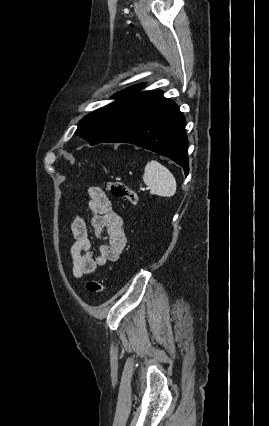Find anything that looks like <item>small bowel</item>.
I'll return each mask as SVG.
<instances>
[{
  "label": "small bowel",
  "instance_id": "small-bowel-1",
  "mask_svg": "<svg viewBox=\"0 0 269 426\" xmlns=\"http://www.w3.org/2000/svg\"><path fill=\"white\" fill-rule=\"evenodd\" d=\"M88 196L87 206L92 213L91 228L102 244L99 253L94 256L86 223L78 216L72 219L70 230L74 243L70 254L73 276L78 280L93 274L98 267L116 262L127 243L123 219L113 208L106 192L100 187H90Z\"/></svg>",
  "mask_w": 269,
  "mask_h": 426
}]
</instances>
